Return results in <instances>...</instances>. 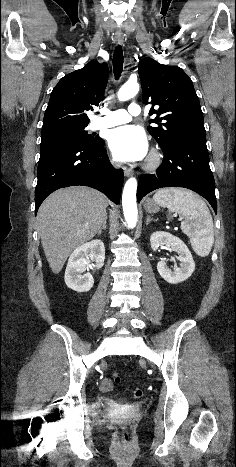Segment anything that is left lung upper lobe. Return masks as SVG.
Returning a JSON list of instances; mask_svg holds the SVG:
<instances>
[{
  "instance_id": "5c2ea615",
  "label": "left lung upper lobe",
  "mask_w": 236,
  "mask_h": 467,
  "mask_svg": "<svg viewBox=\"0 0 236 467\" xmlns=\"http://www.w3.org/2000/svg\"><path fill=\"white\" fill-rule=\"evenodd\" d=\"M138 68L144 103L153 105L149 115H157L150 123L158 127L147 129L161 148L183 135L205 134L199 99L191 79L181 68L162 65L151 58L141 59ZM155 105L159 106L157 110Z\"/></svg>"
}]
</instances>
